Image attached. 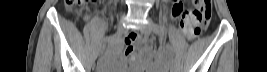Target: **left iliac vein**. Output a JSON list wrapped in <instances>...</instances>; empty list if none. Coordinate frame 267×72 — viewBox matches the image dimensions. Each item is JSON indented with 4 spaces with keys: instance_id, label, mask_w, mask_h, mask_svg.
<instances>
[{
    "instance_id": "obj_1",
    "label": "left iliac vein",
    "mask_w": 267,
    "mask_h": 72,
    "mask_svg": "<svg viewBox=\"0 0 267 72\" xmlns=\"http://www.w3.org/2000/svg\"><path fill=\"white\" fill-rule=\"evenodd\" d=\"M153 30V23L150 22L147 25H145L141 31L144 35H149L151 33V31ZM170 72H174V67L170 66Z\"/></svg>"
}]
</instances>
